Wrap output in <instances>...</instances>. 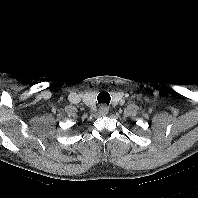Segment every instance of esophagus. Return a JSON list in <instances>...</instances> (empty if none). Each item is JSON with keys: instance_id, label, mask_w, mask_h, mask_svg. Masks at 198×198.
I'll list each match as a JSON object with an SVG mask.
<instances>
[{"instance_id": "34e87169", "label": "esophagus", "mask_w": 198, "mask_h": 198, "mask_svg": "<svg viewBox=\"0 0 198 198\" xmlns=\"http://www.w3.org/2000/svg\"><path fill=\"white\" fill-rule=\"evenodd\" d=\"M108 112H109V108H108V106H106L105 104L101 105V106L99 107V109H98V113H99V115H101V116L107 115Z\"/></svg>"}]
</instances>
